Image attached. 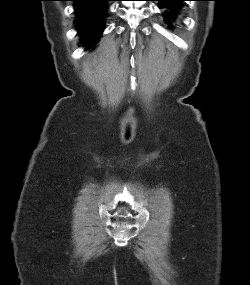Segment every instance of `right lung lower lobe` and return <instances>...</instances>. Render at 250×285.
<instances>
[{
    "instance_id": "obj_1",
    "label": "right lung lower lobe",
    "mask_w": 250,
    "mask_h": 285,
    "mask_svg": "<svg viewBox=\"0 0 250 285\" xmlns=\"http://www.w3.org/2000/svg\"><path fill=\"white\" fill-rule=\"evenodd\" d=\"M74 1L75 24L81 35V42L88 46L95 43L104 29L108 13V1L112 0H70Z\"/></svg>"
}]
</instances>
